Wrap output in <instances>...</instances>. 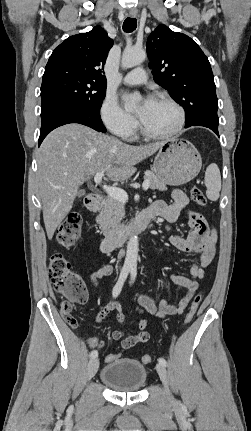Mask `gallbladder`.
<instances>
[{
	"instance_id": "gallbladder-1",
	"label": "gallbladder",
	"mask_w": 251,
	"mask_h": 431,
	"mask_svg": "<svg viewBox=\"0 0 251 431\" xmlns=\"http://www.w3.org/2000/svg\"><path fill=\"white\" fill-rule=\"evenodd\" d=\"M85 190H79L78 191V196L80 197V196H84L85 195Z\"/></svg>"
}]
</instances>
